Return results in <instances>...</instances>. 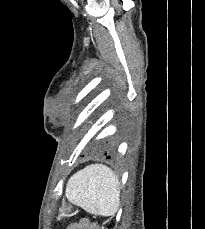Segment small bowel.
I'll list each match as a JSON object with an SVG mask.
<instances>
[{
	"instance_id": "obj_1",
	"label": "small bowel",
	"mask_w": 205,
	"mask_h": 229,
	"mask_svg": "<svg viewBox=\"0 0 205 229\" xmlns=\"http://www.w3.org/2000/svg\"><path fill=\"white\" fill-rule=\"evenodd\" d=\"M70 229H98L95 225L88 221H82L78 224L73 225Z\"/></svg>"
}]
</instances>
